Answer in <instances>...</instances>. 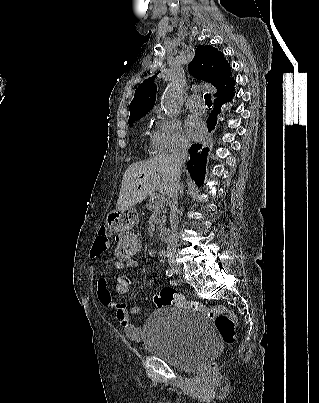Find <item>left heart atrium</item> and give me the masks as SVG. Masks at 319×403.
<instances>
[{"label": "left heart atrium", "mask_w": 319, "mask_h": 403, "mask_svg": "<svg viewBox=\"0 0 319 403\" xmlns=\"http://www.w3.org/2000/svg\"><path fill=\"white\" fill-rule=\"evenodd\" d=\"M185 130L187 136L192 140L200 139L205 131L202 120L194 115L187 117L185 121Z\"/></svg>", "instance_id": "left-heart-atrium-1"}]
</instances>
